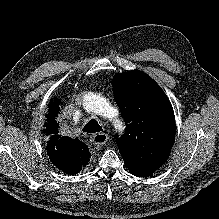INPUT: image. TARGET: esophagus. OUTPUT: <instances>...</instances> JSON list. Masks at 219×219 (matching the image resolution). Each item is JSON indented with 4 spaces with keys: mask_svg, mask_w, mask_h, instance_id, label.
Instances as JSON below:
<instances>
[{
    "mask_svg": "<svg viewBox=\"0 0 219 219\" xmlns=\"http://www.w3.org/2000/svg\"><path fill=\"white\" fill-rule=\"evenodd\" d=\"M93 144L98 148L102 147L108 140V135L105 133H97L92 138Z\"/></svg>",
    "mask_w": 219,
    "mask_h": 219,
    "instance_id": "34e87169",
    "label": "esophagus"
}]
</instances>
